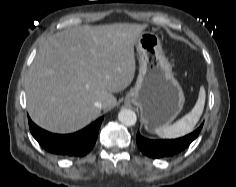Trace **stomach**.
<instances>
[{"label": "stomach", "mask_w": 236, "mask_h": 187, "mask_svg": "<svg viewBox=\"0 0 236 187\" xmlns=\"http://www.w3.org/2000/svg\"><path fill=\"white\" fill-rule=\"evenodd\" d=\"M139 56V74L135 86L125 97L141 111L144 127L153 132L168 126L184 105L183 90L172 74L160 39L152 32H142L135 44Z\"/></svg>", "instance_id": "1"}]
</instances>
